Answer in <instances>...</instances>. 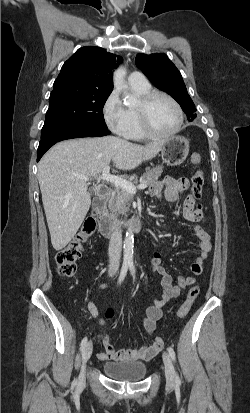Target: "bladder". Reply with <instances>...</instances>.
<instances>
[{
  "label": "bladder",
  "mask_w": 250,
  "mask_h": 413,
  "mask_svg": "<svg viewBox=\"0 0 250 413\" xmlns=\"http://www.w3.org/2000/svg\"><path fill=\"white\" fill-rule=\"evenodd\" d=\"M103 372L117 381H139L147 374V366L141 362H107L102 365Z\"/></svg>",
  "instance_id": "1"
}]
</instances>
